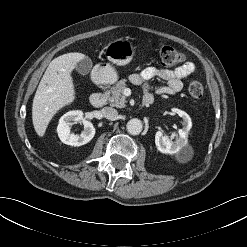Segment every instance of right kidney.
<instances>
[{"label": "right kidney", "mask_w": 247, "mask_h": 247, "mask_svg": "<svg viewBox=\"0 0 247 247\" xmlns=\"http://www.w3.org/2000/svg\"><path fill=\"white\" fill-rule=\"evenodd\" d=\"M73 121H80L83 123L84 131L81 135L70 133V125ZM57 133L63 143L76 147L88 143L95 135V128L90 121L83 119L82 111L76 110L69 111L60 118L57 126Z\"/></svg>", "instance_id": "right-kidney-1"}]
</instances>
